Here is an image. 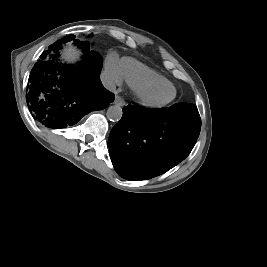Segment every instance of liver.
<instances>
[{"label": "liver", "mask_w": 267, "mask_h": 267, "mask_svg": "<svg viewBox=\"0 0 267 267\" xmlns=\"http://www.w3.org/2000/svg\"><path fill=\"white\" fill-rule=\"evenodd\" d=\"M79 54V51H77L74 47L69 46L63 50L62 58L68 62H73L79 57Z\"/></svg>", "instance_id": "1"}]
</instances>
